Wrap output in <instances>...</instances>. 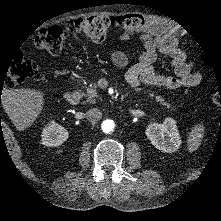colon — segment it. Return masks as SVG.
<instances>
[{
  "label": "colon",
  "instance_id": "obj_1",
  "mask_svg": "<svg viewBox=\"0 0 221 221\" xmlns=\"http://www.w3.org/2000/svg\"><path fill=\"white\" fill-rule=\"evenodd\" d=\"M146 20L138 14L125 16L94 15L90 17L68 20L62 25L41 30L35 39V47L52 55L59 54L66 45L70 34L83 35L92 42H101L112 33L113 29L129 33L145 26ZM38 68L34 61L24 58L15 60L9 68L7 85L14 87L26 80L36 77Z\"/></svg>",
  "mask_w": 221,
  "mask_h": 221
}]
</instances>
